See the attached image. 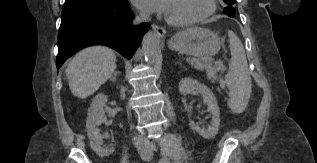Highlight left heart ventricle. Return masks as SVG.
<instances>
[{
    "label": "left heart ventricle",
    "instance_id": "1",
    "mask_svg": "<svg viewBox=\"0 0 317 163\" xmlns=\"http://www.w3.org/2000/svg\"><path fill=\"white\" fill-rule=\"evenodd\" d=\"M207 0H170L166 16L177 21L189 20L205 12Z\"/></svg>",
    "mask_w": 317,
    "mask_h": 163
}]
</instances>
